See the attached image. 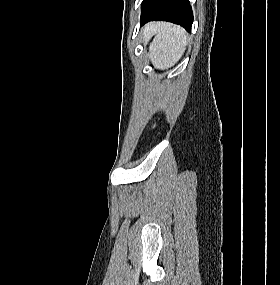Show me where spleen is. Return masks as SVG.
<instances>
[{
  "label": "spleen",
  "instance_id": "spleen-1",
  "mask_svg": "<svg viewBox=\"0 0 280 285\" xmlns=\"http://www.w3.org/2000/svg\"><path fill=\"white\" fill-rule=\"evenodd\" d=\"M147 30L155 34L149 47V57L157 69H168L182 57L188 36L186 32L169 23H154Z\"/></svg>",
  "mask_w": 280,
  "mask_h": 285
}]
</instances>
